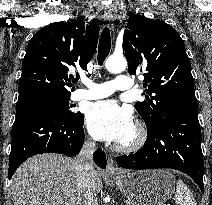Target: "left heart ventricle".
Returning a JSON list of instances; mask_svg holds the SVG:
<instances>
[{"mask_svg": "<svg viewBox=\"0 0 212 205\" xmlns=\"http://www.w3.org/2000/svg\"><path fill=\"white\" fill-rule=\"evenodd\" d=\"M133 135H134V131L131 133V135H130L128 138H126V139H125L124 141H122V142H128V141H130V140L132 139Z\"/></svg>", "mask_w": 212, "mask_h": 205, "instance_id": "left-heart-ventricle-1", "label": "left heart ventricle"}]
</instances>
